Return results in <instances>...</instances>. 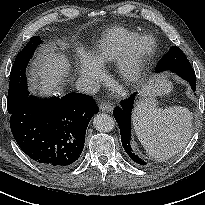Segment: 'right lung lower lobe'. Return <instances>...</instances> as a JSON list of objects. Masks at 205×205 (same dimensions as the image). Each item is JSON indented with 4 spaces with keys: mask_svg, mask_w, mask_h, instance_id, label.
<instances>
[{
    "mask_svg": "<svg viewBox=\"0 0 205 205\" xmlns=\"http://www.w3.org/2000/svg\"><path fill=\"white\" fill-rule=\"evenodd\" d=\"M94 99L82 93L39 99L30 95L11 114L10 127L21 150L47 170L73 166L84 148Z\"/></svg>",
    "mask_w": 205,
    "mask_h": 205,
    "instance_id": "98d812e1",
    "label": "right lung lower lobe"
}]
</instances>
